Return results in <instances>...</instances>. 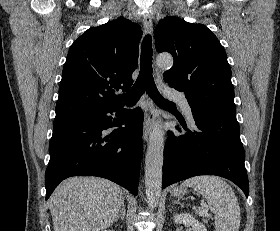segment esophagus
I'll list each match as a JSON object with an SVG mask.
<instances>
[{
  "mask_svg": "<svg viewBox=\"0 0 280 231\" xmlns=\"http://www.w3.org/2000/svg\"><path fill=\"white\" fill-rule=\"evenodd\" d=\"M143 25L146 33L151 34L153 31L152 16L150 13H144ZM155 75L159 77L160 69L155 67ZM156 118L155 108L151 101L146 100L144 109V122H143V139L145 142L148 141V137L152 128V124Z\"/></svg>",
  "mask_w": 280,
  "mask_h": 231,
  "instance_id": "esophagus-1",
  "label": "esophagus"
}]
</instances>
